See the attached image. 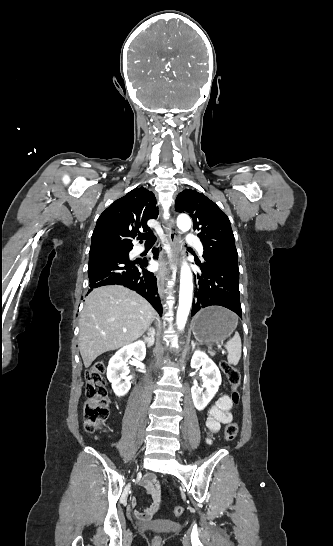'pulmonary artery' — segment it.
Masks as SVG:
<instances>
[{"mask_svg":"<svg viewBox=\"0 0 333 546\" xmlns=\"http://www.w3.org/2000/svg\"><path fill=\"white\" fill-rule=\"evenodd\" d=\"M186 241H187L188 243L194 245L200 254L203 253V246H202L200 240H199L196 236H194V235H192V234H188V235L186 236ZM144 250H145L144 247H142V246H137V247L134 249V253L139 254V253H142Z\"/></svg>","mask_w":333,"mask_h":546,"instance_id":"obj_1","label":"pulmonary artery"}]
</instances>
